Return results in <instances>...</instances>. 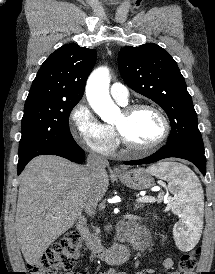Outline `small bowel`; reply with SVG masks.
<instances>
[{"label": "small bowel", "mask_w": 215, "mask_h": 274, "mask_svg": "<svg viewBox=\"0 0 215 274\" xmlns=\"http://www.w3.org/2000/svg\"><path fill=\"white\" fill-rule=\"evenodd\" d=\"M93 260H94V257L91 255L89 258V263L87 267L83 271L77 272L74 274H89L88 273L89 267H90V264L93 262ZM173 265H174L173 259L170 257H167L163 260L160 270L162 272H167V274H179L176 271H171V269L173 268ZM152 273H154L153 269H145L141 272H137L136 274H152ZM100 274H124V273L116 272L114 270H108V271L101 272Z\"/></svg>", "instance_id": "small-bowel-1"}]
</instances>
